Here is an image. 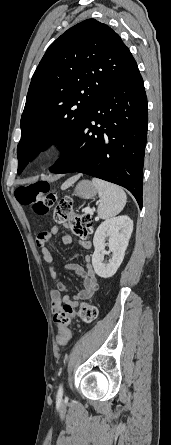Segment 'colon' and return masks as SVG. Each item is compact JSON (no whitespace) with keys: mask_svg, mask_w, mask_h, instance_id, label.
<instances>
[{"mask_svg":"<svg viewBox=\"0 0 171 445\" xmlns=\"http://www.w3.org/2000/svg\"><path fill=\"white\" fill-rule=\"evenodd\" d=\"M16 198L24 206L31 208L38 215H46L52 212L53 220L69 228L79 238H86L93 230V218L89 214L74 212L73 202L69 197L58 198L57 194L50 190L47 182L38 181L30 185L17 188ZM73 311L65 308L54 315V322L60 328L58 342L64 344L68 341L67 327ZM79 317L86 324L93 322L97 316V308L93 305H82Z\"/></svg>","mask_w":171,"mask_h":445,"instance_id":"1","label":"colon"}]
</instances>
